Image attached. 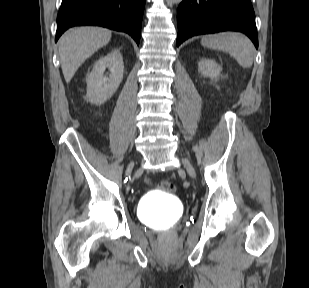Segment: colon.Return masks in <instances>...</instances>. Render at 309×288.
<instances>
[{
	"mask_svg": "<svg viewBox=\"0 0 309 288\" xmlns=\"http://www.w3.org/2000/svg\"><path fill=\"white\" fill-rule=\"evenodd\" d=\"M160 187L162 190L166 192H172L174 190V186L169 182H162L160 183Z\"/></svg>",
	"mask_w": 309,
	"mask_h": 288,
	"instance_id": "5ec220e1",
	"label": "colon"
}]
</instances>
